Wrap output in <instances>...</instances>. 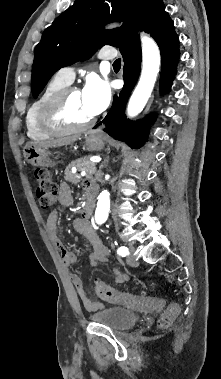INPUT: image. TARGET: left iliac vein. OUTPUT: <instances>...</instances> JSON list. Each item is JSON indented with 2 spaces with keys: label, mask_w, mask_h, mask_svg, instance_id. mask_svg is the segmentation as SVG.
<instances>
[{
  "label": "left iliac vein",
  "mask_w": 221,
  "mask_h": 379,
  "mask_svg": "<svg viewBox=\"0 0 221 379\" xmlns=\"http://www.w3.org/2000/svg\"><path fill=\"white\" fill-rule=\"evenodd\" d=\"M129 250H130L131 253H133L135 251V248L133 246H129ZM127 263L130 266H137L138 265V263L136 262L135 258H133L131 256L127 257Z\"/></svg>",
  "instance_id": "1"
}]
</instances>
